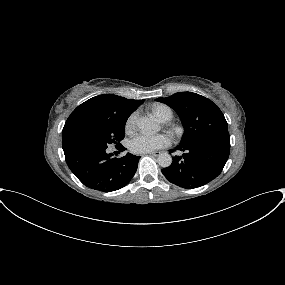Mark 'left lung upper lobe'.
Returning a JSON list of instances; mask_svg holds the SVG:
<instances>
[{"mask_svg": "<svg viewBox=\"0 0 285 285\" xmlns=\"http://www.w3.org/2000/svg\"><path fill=\"white\" fill-rule=\"evenodd\" d=\"M170 106L181 118L184 134L180 146L202 139L230 142L226 119L210 99L191 92H179L156 99Z\"/></svg>", "mask_w": 285, "mask_h": 285, "instance_id": "obj_1", "label": "left lung upper lobe"}]
</instances>
